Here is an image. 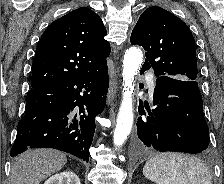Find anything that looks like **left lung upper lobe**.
Here are the masks:
<instances>
[{"instance_id": "obj_1", "label": "left lung upper lobe", "mask_w": 224, "mask_h": 184, "mask_svg": "<svg viewBox=\"0 0 224 184\" xmlns=\"http://www.w3.org/2000/svg\"><path fill=\"white\" fill-rule=\"evenodd\" d=\"M130 41L146 50L142 69L152 68L156 77L196 81L194 37L188 26L169 11L157 6L146 9L132 31Z\"/></svg>"}]
</instances>
